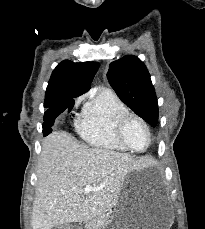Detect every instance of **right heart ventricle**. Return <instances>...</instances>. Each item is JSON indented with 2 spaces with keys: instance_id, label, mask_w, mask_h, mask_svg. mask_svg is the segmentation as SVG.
<instances>
[{
  "instance_id": "e07e8e85",
  "label": "right heart ventricle",
  "mask_w": 205,
  "mask_h": 229,
  "mask_svg": "<svg viewBox=\"0 0 205 229\" xmlns=\"http://www.w3.org/2000/svg\"><path fill=\"white\" fill-rule=\"evenodd\" d=\"M129 112L125 103L111 90L93 93L77 121L79 135L96 148L125 152L128 149L116 133L119 118Z\"/></svg>"
}]
</instances>
